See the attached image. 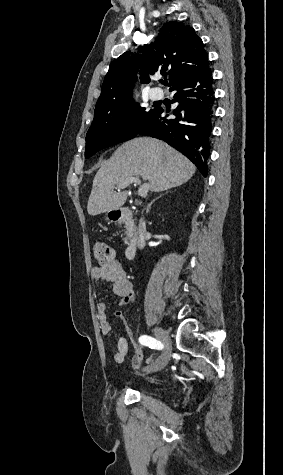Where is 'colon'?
Returning a JSON list of instances; mask_svg holds the SVG:
<instances>
[{
  "mask_svg": "<svg viewBox=\"0 0 283 475\" xmlns=\"http://www.w3.org/2000/svg\"><path fill=\"white\" fill-rule=\"evenodd\" d=\"M93 254L100 266L108 265L115 262V251L113 247L104 244L97 243L93 247Z\"/></svg>",
  "mask_w": 283,
  "mask_h": 475,
  "instance_id": "1",
  "label": "colon"
}]
</instances>
